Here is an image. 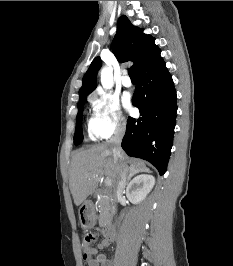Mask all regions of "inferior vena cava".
<instances>
[{
  "label": "inferior vena cava",
  "instance_id": "602c4592",
  "mask_svg": "<svg viewBox=\"0 0 233 266\" xmlns=\"http://www.w3.org/2000/svg\"><path fill=\"white\" fill-rule=\"evenodd\" d=\"M124 133L125 124H120L116 127L114 136L110 139V143L113 146L114 159L118 162V177L114 186L115 197H119L123 194L129 172L128 166L124 161V152L121 148Z\"/></svg>",
  "mask_w": 233,
  "mask_h": 266
}]
</instances>
